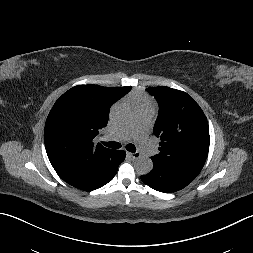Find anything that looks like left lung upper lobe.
<instances>
[{"instance_id":"5c2ea615","label":"left lung upper lobe","mask_w":253,"mask_h":253,"mask_svg":"<svg viewBox=\"0 0 253 253\" xmlns=\"http://www.w3.org/2000/svg\"><path fill=\"white\" fill-rule=\"evenodd\" d=\"M159 104L154 134L161 139L153 164L196 177L206 161L210 137L205 114L187 93L169 87L146 89Z\"/></svg>"}]
</instances>
